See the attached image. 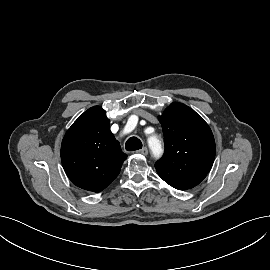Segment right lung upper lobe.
<instances>
[{
    "mask_svg": "<svg viewBox=\"0 0 270 270\" xmlns=\"http://www.w3.org/2000/svg\"><path fill=\"white\" fill-rule=\"evenodd\" d=\"M126 158L100 106L85 111L68 129L61 144L66 175L74 185L92 192L109 186Z\"/></svg>",
    "mask_w": 270,
    "mask_h": 270,
    "instance_id": "cb5924a9",
    "label": "right lung upper lobe"
}]
</instances>
